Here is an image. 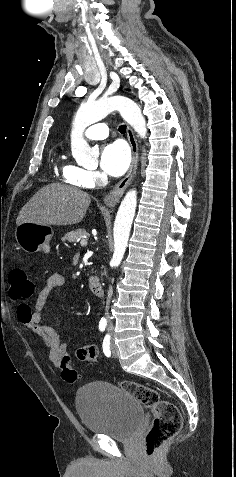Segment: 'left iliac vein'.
Masks as SVG:
<instances>
[{
  "mask_svg": "<svg viewBox=\"0 0 236 477\" xmlns=\"http://www.w3.org/2000/svg\"><path fill=\"white\" fill-rule=\"evenodd\" d=\"M110 347H111V351H112L113 356L118 357V355H119L118 347L113 340L111 341Z\"/></svg>",
  "mask_w": 236,
  "mask_h": 477,
  "instance_id": "obj_1",
  "label": "left iliac vein"
}]
</instances>
